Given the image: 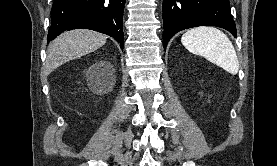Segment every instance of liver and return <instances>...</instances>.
Listing matches in <instances>:
<instances>
[{"label": "liver", "instance_id": "obj_1", "mask_svg": "<svg viewBox=\"0 0 277 166\" xmlns=\"http://www.w3.org/2000/svg\"><path fill=\"white\" fill-rule=\"evenodd\" d=\"M106 40V35L86 29L61 34L48 46L46 74L70 60L96 51L106 43Z\"/></svg>", "mask_w": 277, "mask_h": 166}]
</instances>
